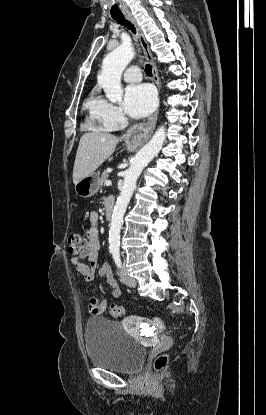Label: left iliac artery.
<instances>
[{
	"label": "left iliac artery",
	"instance_id": "obj_1",
	"mask_svg": "<svg viewBox=\"0 0 266 415\" xmlns=\"http://www.w3.org/2000/svg\"><path fill=\"white\" fill-rule=\"evenodd\" d=\"M113 259L115 261V264L117 265L118 268L121 267V258H120V252L119 251H113Z\"/></svg>",
	"mask_w": 266,
	"mask_h": 415
}]
</instances>
